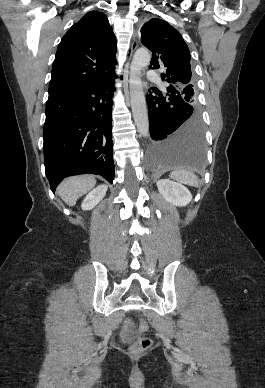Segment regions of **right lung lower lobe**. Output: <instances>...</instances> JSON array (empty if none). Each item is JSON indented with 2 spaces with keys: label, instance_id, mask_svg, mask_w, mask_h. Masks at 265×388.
<instances>
[{
  "label": "right lung lower lobe",
  "instance_id": "98d812e1",
  "mask_svg": "<svg viewBox=\"0 0 265 388\" xmlns=\"http://www.w3.org/2000/svg\"><path fill=\"white\" fill-rule=\"evenodd\" d=\"M116 77L48 99L43 150L53 192L71 175L114 179L111 113Z\"/></svg>",
  "mask_w": 265,
  "mask_h": 388
}]
</instances>
